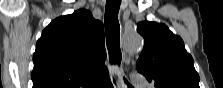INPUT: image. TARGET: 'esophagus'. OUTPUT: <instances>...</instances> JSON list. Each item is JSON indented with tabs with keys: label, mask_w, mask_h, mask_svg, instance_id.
<instances>
[{
	"label": "esophagus",
	"mask_w": 223,
	"mask_h": 88,
	"mask_svg": "<svg viewBox=\"0 0 223 88\" xmlns=\"http://www.w3.org/2000/svg\"><path fill=\"white\" fill-rule=\"evenodd\" d=\"M110 79L114 88H122L120 72L116 66L110 68Z\"/></svg>",
	"instance_id": "34e87169"
}]
</instances>
